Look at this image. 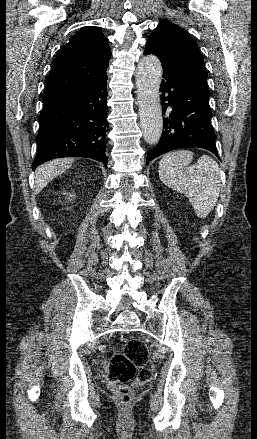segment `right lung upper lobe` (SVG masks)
<instances>
[{
  "instance_id": "1",
  "label": "right lung upper lobe",
  "mask_w": 257,
  "mask_h": 439,
  "mask_svg": "<svg viewBox=\"0 0 257 439\" xmlns=\"http://www.w3.org/2000/svg\"><path fill=\"white\" fill-rule=\"evenodd\" d=\"M99 29L87 26L65 44L53 60L43 98L89 83L106 73L111 51Z\"/></svg>"
}]
</instances>
